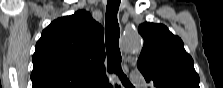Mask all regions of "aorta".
<instances>
[{"label":"aorta","mask_w":223,"mask_h":88,"mask_svg":"<svg viewBox=\"0 0 223 88\" xmlns=\"http://www.w3.org/2000/svg\"><path fill=\"white\" fill-rule=\"evenodd\" d=\"M142 46L143 40L138 33H126L122 37V48L125 52L139 51Z\"/></svg>","instance_id":"obj_1"}]
</instances>
